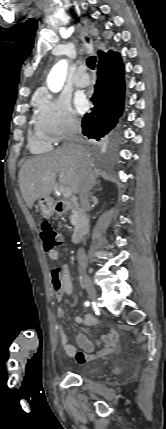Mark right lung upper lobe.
I'll return each mask as SVG.
<instances>
[{
  "label": "right lung upper lobe",
  "instance_id": "right-lung-upper-lobe-1",
  "mask_svg": "<svg viewBox=\"0 0 166 429\" xmlns=\"http://www.w3.org/2000/svg\"><path fill=\"white\" fill-rule=\"evenodd\" d=\"M112 53L113 52H111V51L104 52V51H100V50L97 52L98 58H103V57H106V56H110Z\"/></svg>",
  "mask_w": 166,
  "mask_h": 429
}]
</instances>
